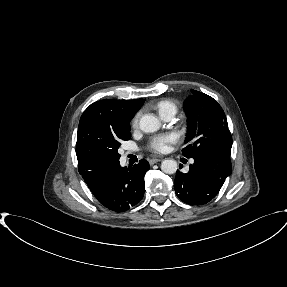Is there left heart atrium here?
I'll return each mask as SVG.
<instances>
[{
  "label": "left heart atrium",
  "mask_w": 287,
  "mask_h": 287,
  "mask_svg": "<svg viewBox=\"0 0 287 287\" xmlns=\"http://www.w3.org/2000/svg\"><path fill=\"white\" fill-rule=\"evenodd\" d=\"M175 133H165L154 136L149 142V148L158 153L166 152L170 145L177 141Z\"/></svg>",
  "instance_id": "39dd6f15"
}]
</instances>
